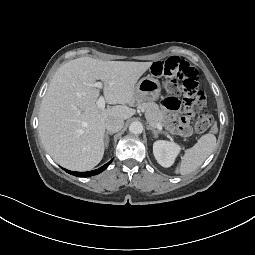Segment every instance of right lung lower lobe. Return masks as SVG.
<instances>
[{
	"label": "right lung lower lobe",
	"instance_id": "98d812e1",
	"mask_svg": "<svg viewBox=\"0 0 255 255\" xmlns=\"http://www.w3.org/2000/svg\"><path fill=\"white\" fill-rule=\"evenodd\" d=\"M111 162H112V160L110 162H108L107 164H105L104 166L100 167L99 169L89 171V172H74V171H70V170H66V169H64V170L66 172H68L69 174L77 176V177H90V176H94V175L99 174L102 171H104L109 166V164Z\"/></svg>",
	"mask_w": 255,
	"mask_h": 255
}]
</instances>
